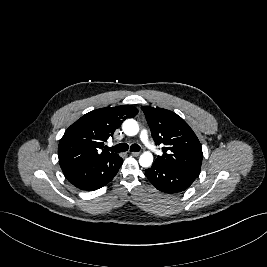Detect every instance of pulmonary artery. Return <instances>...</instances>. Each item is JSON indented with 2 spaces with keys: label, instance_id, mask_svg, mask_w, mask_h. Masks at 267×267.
Returning a JSON list of instances; mask_svg holds the SVG:
<instances>
[{
  "label": "pulmonary artery",
  "instance_id": "pulmonary-artery-1",
  "mask_svg": "<svg viewBox=\"0 0 267 267\" xmlns=\"http://www.w3.org/2000/svg\"><path fill=\"white\" fill-rule=\"evenodd\" d=\"M140 139L145 144V146L148 147L150 150H152V151L155 150V147L153 146V144L149 140L148 133L146 130L141 131Z\"/></svg>",
  "mask_w": 267,
  "mask_h": 267
}]
</instances>
